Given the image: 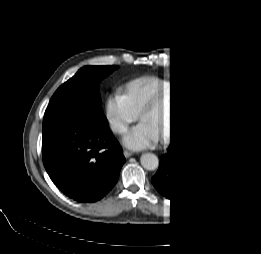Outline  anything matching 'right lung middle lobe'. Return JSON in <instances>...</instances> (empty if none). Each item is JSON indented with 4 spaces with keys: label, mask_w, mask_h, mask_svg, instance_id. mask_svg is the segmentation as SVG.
<instances>
[{
    "label": "right lung middle lobe",
    "mask_w": 261,
    "mask_h": 254,
    "mask_svg": "<svg viewBox=\"0 0 261 254\" xmlns=\"http://www.w3.org/2000/svg\"><path fill=\"white\" fill-rule=\"evenodd\" d=\"M117 66H85L53 94L46 110L73 109L96 124L107 125L99 84Z\"/></svg>",
    "instance_id": "obj_1"
}]
</instances>
